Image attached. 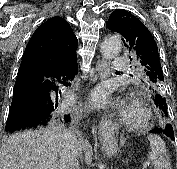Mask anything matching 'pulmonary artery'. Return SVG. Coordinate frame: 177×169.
Segmentation results:
<instances>
[{
    "label": "pulmonary artery",
    "instance_id": "obj_1",
    "mask_svg": "<svg viewBox=\"0 0 177 169\" xmlns=\"http://www.w3.org/2000/svg\"><path fill=\"white\" fill-rule=\"evenodd\" d=\"M113 64H114V67L118 68V69L126 68L128 66L127 60L125 58H123V57H116L114 59Z\"/></svg>",
    "mask_w": 177,
    "mask_h": 169
}]
</instances>
